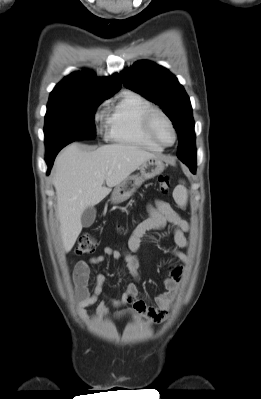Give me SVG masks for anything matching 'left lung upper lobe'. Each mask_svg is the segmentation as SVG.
<instances>
[{"mask_svg": "<svg viewBox=\"0 0 261 399\" xmlns=\"http://www.w3.org/2000/svg\"><path fill=\"white\" fill-rule=\"evenodd\" d=\"M125 87L164 109L179 137L177 157L196 161L194 120L190 99L177 78L150 61H138L120 73Z\"/></svg>", "mask_w": 261, "mask_h": 399, "instance_id": "left-lung-upper-lobe-1", "label": "left lung upper lobe"}]
</instances>
